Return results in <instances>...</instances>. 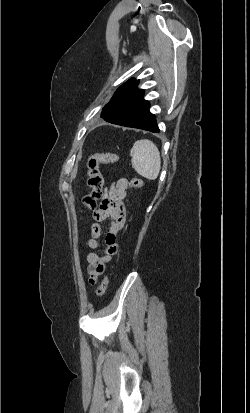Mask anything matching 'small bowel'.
Wrapping results in <instances>:
<instances>
[{"mask_svg":"<svg viewBox=\"0 0 250 413\" xmlns=\"http://www.w3.org/2000/svg\"><path fill=\"white\" fill-rule=\"evenodd\" d=\"M127 186L128 181L126 179H119L114 182L103 196L98 209L93 214L95 222L90 225V238L86 243L88 248L92 250L99 248V239L102 236L99 222L109 219L111 225L105 238L106 244L103 253L90 252L86 256L88 281L91 285L97 283L99 276L105 271L108 263L119 251L116 238L125 224L126 208L124 199Z\"/></svg>","mask_w":250,"mask_h":413,"instance_id":"1","label":"small bowel"}]
</instances>
